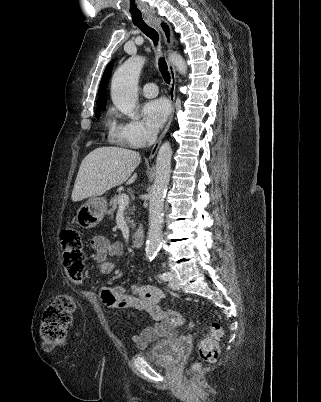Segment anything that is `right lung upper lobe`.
<instances>
[{"mask_svg": "<svg viewBox=\"0 0 321 402\" xmlns=\"http://www.w3.org/2000/svg\"><path fill=\"white\" fill-rule=\"evenodd\" d=\"M113 68V62L111 61L103 74V77L101 79L99 91H98V99H97V108L106 106V89L108 85V80L111 74Z\"/></svg>", "mask_w": 321, "mask_h": 402, "instance_id": "obj_1", "label": "right lung upper lobe"}]
</instances>
